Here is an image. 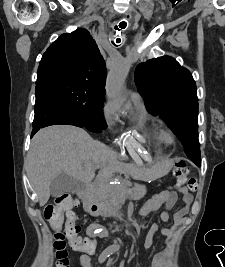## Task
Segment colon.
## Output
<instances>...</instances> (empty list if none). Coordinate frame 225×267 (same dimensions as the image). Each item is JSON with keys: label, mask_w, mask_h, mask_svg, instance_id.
Wrapping results in <instances>:
<instances>
[{"label": "colon", "mask_w": 225, "mask_h": 267, "mask_svg": "<svg viewBox=\"0 0 225 267\" xmlns=\"http://www.w3.org/2000/svg\"><path fill=\"white\" fill-rule=\"evenodd\" d=\"M172 173L179 185H186L190 191L197 189L198 181L196 178H188L189 167L184 160H174ZM76 204L75 199L65 194L57 199L56 204H50L44 210L45 218L49 221L54 231L55 267H69L66 240L74 250L90 252L93 249V244L90 240L83 239L80 236L79 216L73 210ZM65 213L66 222L63 226Z\"/></svg>", "instance_id": "colon-1"}]
</instances>
